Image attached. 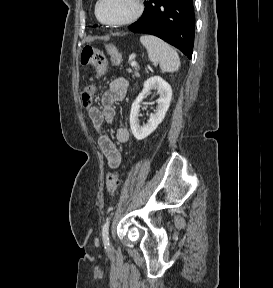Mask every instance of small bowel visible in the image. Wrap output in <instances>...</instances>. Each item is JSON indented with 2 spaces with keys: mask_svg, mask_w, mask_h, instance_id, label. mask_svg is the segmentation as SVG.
Here are the masks:
<instances>
[{
  "mask_svg": "<svg viewBox=\"0 0 273 288\" xmlns=\"http://www.w3.org/2000/svg\"><path fill=\"white\" fill-rule=\"evenodd\" d=\"M128 81L125 78H117L110 82L107 90L101 96V107L93 106L89 109V117L98 132V145L107 158L110 168L115 169L120 165L121 155L104 127L111 125L115 117V102L122 100L127 92ZM129 139V131L121 127L116 131V140L126 143Z\"/></svg>",
  "mask_w": 273,
  "mask_h": 288,
  "instance_id": "c3829d8e",
  "label": "small bowel"
}]
</instances>
